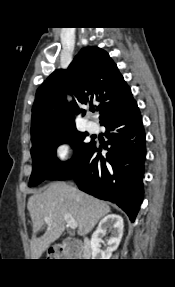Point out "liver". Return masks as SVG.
<instances>
[{
	"instance_id": "liver-1",
	"label": "liver",
	"mask_w": 175,
	"mask_h": 287,
	"mask_svg": "<svg viewBox=\"0 0 175 287\" xmlns=\"http://www.w3.org/2000/svg\"><path fill=\"white\" fill-rule=\"evenodd\" d=\"M33 223V235L30 242L32 259H39L52 242L57 240L65 230L64 215H70L77 222V233L88 234L98 221L110 212L107 203L63 182L48 185L42 193L33 194L27 204ZM50 222L46 223L45 218ZM46 225L45 233H37Z\"/></svg>"
}]
</instances>
